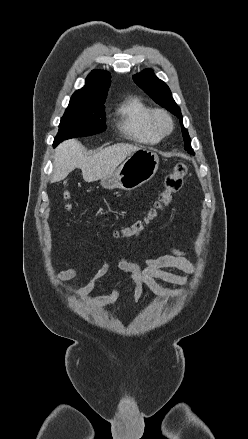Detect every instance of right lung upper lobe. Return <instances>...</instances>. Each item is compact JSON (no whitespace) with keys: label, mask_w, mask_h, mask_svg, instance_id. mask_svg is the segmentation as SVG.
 I'll list each match as a JSON object with an SVG mask.
<instances>
[{"label":"right lung upper lobe","mask_w":248,"mask_h":439,"mask_svg":"<svg viewBox=\"0 0 248 439\" xmlns=\"http://www.w3.org/2000/svg\"><path fill=\"white\" fill-rule=\"evenodd\" d=\"M110 86V75L106 71L93 70L86 78V85L72 95L70 102L103 103Z\"/></svg>","instance_id":"cb5924a9"}]
</instances>
